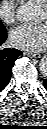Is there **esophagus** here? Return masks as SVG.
Listing matches in <instances>:
<instances>
[{
	"label": "esophagus",
	"instance_id": "esophagus-1",
	"mask_svg": "<svg viewBox=\"0 0 47 129\" xmlns=\"http://www.w3.org/2000/svg\"><path fill=\"white\" fill-rule=\"evenodd\" d=\"M26 55H28V56H30V57H32V58H36V59H38V58H40L41 57V55L40 54H36V53H32V52H24Z\"/></svg>",
	"mask_w": 47,
	"mask_h": 129
}]
</instances>
